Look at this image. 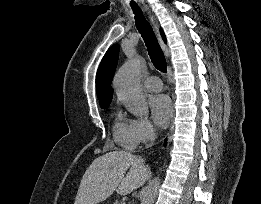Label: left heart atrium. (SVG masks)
Returning a JSON list of instances; mask_svg holds the SVG:
<instances>
[{
	"label": "left heart atrium",
	"mask_w": 261,
	"mask_h": 204,
	"mask_svg": "<svg viewBox=\"0 0 261 204\" xmlns=\"http://www.w3.org/2000/svg\"><path fill=\"white\" fill-rule=\"evenodd\" d=\"M149 106L154 122L160 127H166L173 114L170 99L164 94L154 95L149 100Z\"/></svg>",
	"instance_id": "1"
}]
</instances>
